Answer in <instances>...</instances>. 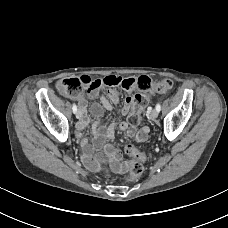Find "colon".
I'll return each instance as SVG.
<instances>
[{
  "label": "colon",
  "instance_id": "1",
  "mask_svg": "<svg viewBox=\"0 0 228 228\" xmlns=\"http://www.w3.org/2000/svg\"><path fill=\"white\" fill-rule=\"evenodd\" d=\"M121 86L126 90H135L137 93L133 97L132 111L128 117L131 126H137L140 123L141 112L147 106L149 94L151 92L163 93L169 90L172 82L168 79L153 81L147 76L121 78L117 76H106L102 79L91 81L88 77L66 78L60 80L56 87L58 91L65 96H79L85 90L89 92L96 91L102 87ZM125 152L133 159L127 160L123 164L127 172V180L135 181L143 172L141 162L146 161L150 154L140 152L133 145H127ZM108 172V169H105Z\"/></svg>",
  "mask_w": 228,
  "mask_h": 228
}]
</instances>
